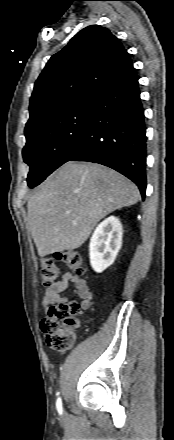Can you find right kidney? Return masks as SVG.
<instances>
[{"label": "right kidney", "mask_w": 174, "mask_h": 440, "mask_svg": "<svg viewBox=\"0 0 174 440\" xmlns=\"http://www.w3.org/2000/svg\"><path fill=\"white\" fill-rule=\"evenodd\" d=\"M122 235V224L114 216L96 227L89 244L90 264L95 272H103L114 262L122 245Z\"/></svg>", "instance_id": "1"}]
</instances>
